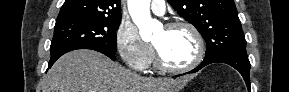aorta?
I'll return each instance as SVG.
<instances>
[{
  "label": "aorta",
  "instance_id": "obj_1",
  "mask_svg": "<svg viewBox=\"0 0 289 92\" xmlns=\"http://www.w3.org/2000/svg\"><path fill=\"white\" fill-rule=\"evenodd\" d=\"M128 10L133 22L139 28L143 40L150 39L152 32L160 26V23L151 18L150 0H128Z\"/></svg>",
  "mask_w": 289,
  "mask_h": 92
}]
</instances>
